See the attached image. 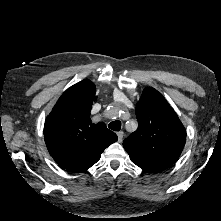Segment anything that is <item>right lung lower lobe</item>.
I'll list each match as a JSON object with an SVG mask.
<instances>
[{"mask_svg": "<svg viewBox=\"0 0 221 221\" xmlns=\"http://www.w3.org/2000/svg\"><path fill=\"white\" fill-rule=\"evenodd\" d=\"M95 163L87 164L84 166H78V167H75L72 170H68V171H70V172H83V171L87 170L88 168H90Z\"/></svg>", "mask_w": 221, "mask_h": 221, "instance_id": "98d812e1", "label": "right lung lower lobe"}]
</instances>
